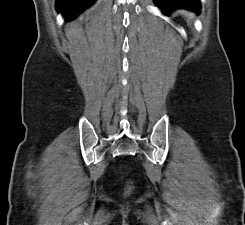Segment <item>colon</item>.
Here are the masks:
<instances>
[{
    "label": "colon",
    "mask_w": 245,
    "mask_h": 225,
    "mask_svg": "<svg viewBox=\"0 0 245 225\" xmlns=\"http://www.w3.org/2000/svg\"><path fill=\"white\" fill-rule=\"evenodd\" d=\"M130 192H131V188L128 189V193H130Z\"/></svg>",
    "instance_id": "1"
}]
</instances>
